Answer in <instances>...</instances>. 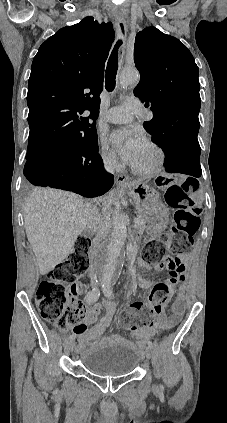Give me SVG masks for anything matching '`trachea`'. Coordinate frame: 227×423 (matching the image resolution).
I'll return each instance as SVG.
<instances>
[{"label":"trachea","instance_id":"1","mask_svg":"<svg viewBox=\"0 0 227 423\" xmlns=\"http://www.w3.org/2000/svg\"><path fill=\"white\" fill-rule=\"evenodd\" d=\"M122 41V39L117 41L107 63L105 88L108 92H112L116 85V74L118 70V49L121 46Z\"/></svg>","mask_w":227,"mask_h":423}]
</instances>
